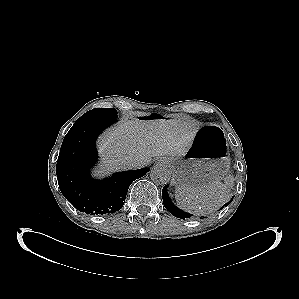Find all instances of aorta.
I'll return each mask as SVG.
<instances>
[{"instance_id": "obj_1", "label": "aorta", "mask_w": 299, "mask_h": 299, "mask_svg": "<svg viewBox=\"0 0 299 299\" xmlns=\"http://www.w3.org/2000/svg\"><path fill=\"white\" fill-rule=\"evenodd\" d=\"M151 179L160 184H167L170 181L171 173L165 166H155L150 173Z\"/></svg>"}]
</instances>
